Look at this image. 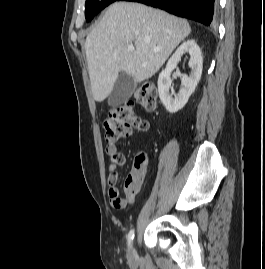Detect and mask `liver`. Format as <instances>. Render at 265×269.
I'll return each instance as SVG.
<instances>
[{"label": "liver", "instance_id": "6515ba94", "mask_svg": "<svg viewBox=\"0 0 265 269\" xmlns=\"http://www.w3.org/2000/svg\"><path fill=\"white\" fill-rule=\"evenodd\" d=\"M190 32L185 19L164 11L139 3L110 5L85 42L95 101L110 95L119 73L132 76L136 83L151 78ZM128 45L135 50L129 51Z\"/></svg>", "mask_w": 265, "mask_h": 269}]
</instances>
